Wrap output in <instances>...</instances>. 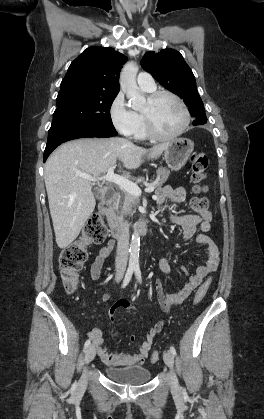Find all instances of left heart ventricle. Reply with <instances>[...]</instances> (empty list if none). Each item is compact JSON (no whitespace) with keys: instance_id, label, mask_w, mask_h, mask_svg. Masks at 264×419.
I'll list each match as a JSON object with an SVG mask.
<instances>
[{"instance_id":"b2bd125f","label":"left heart ventricle","mask_w":264,"mask_h":419,"mask_svg":"<svg viewBox=\"0 0 264 419\" xmlns=\"http://www.w3.org/2000/svg\"><path fill=\"white\" fill-rule=\"evenodd\" d=\"M144 109H150L156 128L163 135L176 133L183 124L182 109L170 96L160 97L152 106L147 102Z\"/></svg>"}]
</instances>
